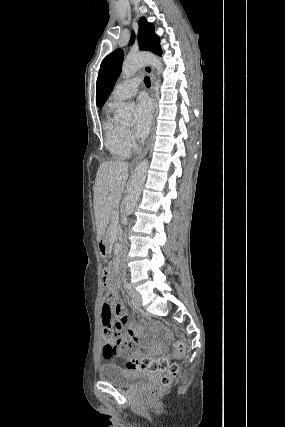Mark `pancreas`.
<instances>
[{
	"label": "pancreas",
	"instance_id": "1",
	"mask_svg": "<svg viewBox=\"0 0 285 427\" xmlns=\"http://www.w3.org/2000/svg\"><path fill=\"white\" fill-rule=\"evenodd\" d=\"M111 221H112V224H111V227H110V229H109V234L110 235H112L113 234V230H114V228H115V226H116V217H115V214L112 212V214H111Z\"/></svg>",
	"mask_w": 285,
	"mask_h": 427
}]
</instances>
